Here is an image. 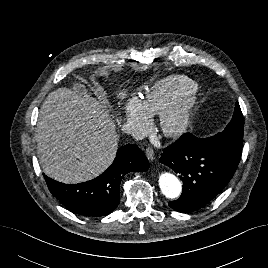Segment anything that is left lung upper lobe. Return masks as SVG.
Segmentation results:
<instances>
[{
    "instance_id": "1",
    "label": "left lung upper lobe",
    "mask_w": 268,
    "mask_h": 268,
    "mask_svg": "<svg viewBox=\"0 0 268 268\" xmlns=\"http://www.w3.org/2000/svg\"><path fill=\"white\" fill-rule=\"evenodd\" d=\"M243 131V115L239 104H236L232 120L224 129V131L210 138H206V140L210 141L213 145H217L241 155Z\"/></svg>"
}]
</instances>
